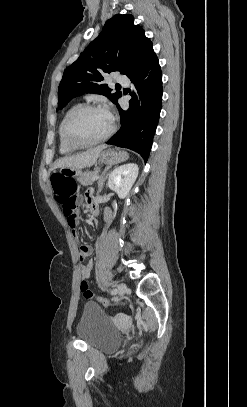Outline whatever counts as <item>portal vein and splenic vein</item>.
I'll use <instances>...</instances> for the list:
<instances>
[{"label":"portal vein and splenic vein","instance_id":"1","mask_svg":"<svg viewBox=\"0 0 247 407\" xmlns=\"http://www.w3.org/2000/svg\"><path fill=\"white\" fill-rule=\"evenodd\" d=\"M99 179V175L97 174L96 176H94L93 180H97Z\"/></svg>","mask_w":247,"mask_h":407}]
</instances>
